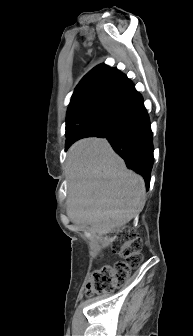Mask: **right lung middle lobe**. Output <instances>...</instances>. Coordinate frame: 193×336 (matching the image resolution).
I'll return each instance as SVG.
<instances>
[{"label": "right lung middle lobe", "mask_w": 193, "mask_h": 336, "mask_svg": "<svg viewBox=\"0 0 193 336\" xmlns=\"http://www.w3.org/2000/svg\"><path fill=\"white\" fill-rule=\"evenodd\" d=\"M112 110L107 109L92 119L79 121L78 124L71 127L70 132L72 134L82 133L85 135L84 137L96 136L103 129Z\"/></svg>", "instance_id": "obj_1"}]
</instances>
